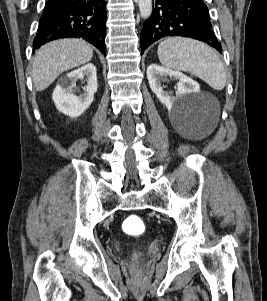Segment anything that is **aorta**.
Wrapping results in <instances>:
<instances>
[{"instance_id":"762f6f07","label":"aorta","mask_w":267,"mask_h":301,"mask_svg":"<svg viewBox=\"0 0 267 301\" xmlns=\"http://www.w3.org/2000/svg\"><path fill=\"white\" fill-rule=\"evenodd\" d=\"M138 5L141 17L149 18L152 14V0H138Z\"/></svg>"}]
</instances>
